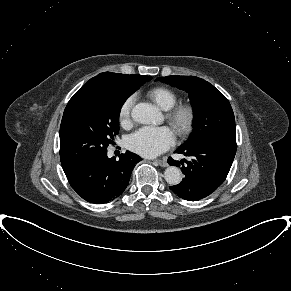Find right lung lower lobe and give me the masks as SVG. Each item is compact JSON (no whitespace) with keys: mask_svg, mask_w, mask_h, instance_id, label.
<instances>
[{"mask_svg":"<svg viewBox=\"0 0 291 291\" xmlns=\"http://www.w3.org/2000/svg\"><path fill=\"white\" fill-rule=\"evenodd\" d=\"M141 157L127 151L108 158L107 151L77 164L65 172L75 192L91 203H106L119 197L128 186L135 164Z\"/></svg>","mask_w":291,"mask_h":291,"instance_id":"obj_1","label":"right lung lower lobe"}]
</instances>
